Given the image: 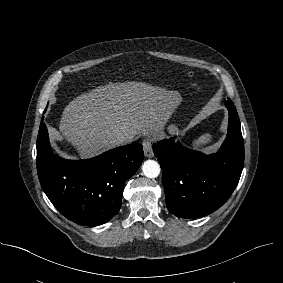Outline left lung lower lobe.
<instances>
[{
	"label": "left lung lower lobe",
	"instance_id": "1",
	"mask_svg": "<svg viewBox=\"0 0 283 283\" xmlns=\"http://www.w3.org/2000/svg\"><path fill=\"white\" fill-rule=\"evenodd\" d=\"M228 134L219 151L205 155L173 138L153 144L162 169L167 208L181 218H199L220 208L236 188L244 164L240 120L228 99Z\"/></svg>",
	"mask_w": 283,
	"mask_h": 283
}]
</instances>
